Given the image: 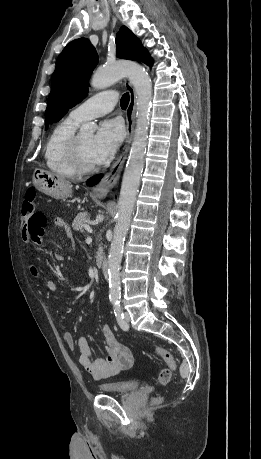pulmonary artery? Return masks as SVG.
Returning <instances> with one entry per match:
<instances>
[{
	"label": "pulmonary artery",
	"instance_id": "e3ab8cb5",
	"mask_svg": "<svg viewBox=\"0 0 261 459\" xmlns=\"http://www.w3.org/2000/svg\"><path fill=\"white\" fill-rule=\"evenodd\" d=\"M117 99V92L114 90L99 92L74 108L69 116L81 122L105 115L113 110L117 103Z\"/></svg>",
	"mask_w": 261,
	"mask_h": 459
}]
</instances>
